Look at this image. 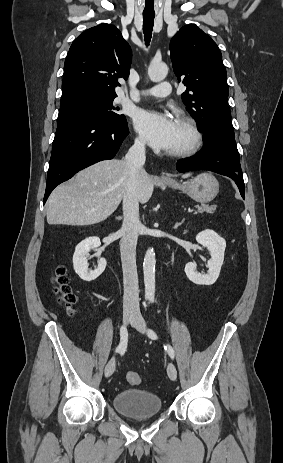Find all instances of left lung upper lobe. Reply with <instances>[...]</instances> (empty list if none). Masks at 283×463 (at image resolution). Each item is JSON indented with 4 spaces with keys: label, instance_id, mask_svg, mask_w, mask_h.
<instances>
[{
    "label": "left lung upper lobe",
    "instance_id": "5c2ea615",
    "mask_svg": "<svg viewBox=\"0 0 283 463\" xmlns=\"http://www.w3.org/2000/svg\"><path fill=\"white\" fill-rule=\"evenodd\" d=\"M171 60L186 109L198 120L204 142H219L237 150L227 105L226 69L216 43L196 25L183 26L170 42Z\"/></svg>",
    "mask_w": 283,
    "mask_h": 463
}]
</instances>
